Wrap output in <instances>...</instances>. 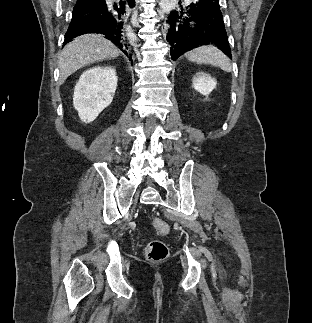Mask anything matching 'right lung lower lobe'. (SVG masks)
Wrapping results in <instances>:
<instances>
[{"label":"right lung lower lobe","instance_id":"right-lung-lower-lobe-1","mask_svg":"<svg viewBox=\"0 0 312 323\" xmlns=\"http://www.w3.org/2000/svg\"><path fill=\"white\" fill-rule=\"evenodd\" d=\"M134 4L135 0H117L114 3L106 0H77L63 45L82 34H104L131 59L125 35L128 14Z\"/></svg>","mask_w":312,"mask_h":323}]
</instances>
